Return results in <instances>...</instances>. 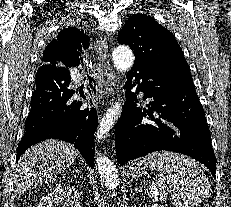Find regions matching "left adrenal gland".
Wrapping results in <instances>:
<instances>
[{"mask_svg": "<svg viewBox=\"0 0 231 207\" xmlns=\"http://www.w3.org/2000/svg\"><path fill=\"white\" fill-rule=\"evenodd\" d=\"M138 191V188H137V186L135 187V192H137Z\"/></svg>", "mask_w": 231, "mask_h": 207, "instance_id": "1", "label": "left adrenal gland"}]
</instances>
